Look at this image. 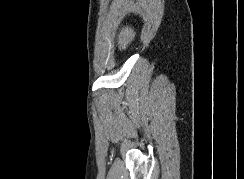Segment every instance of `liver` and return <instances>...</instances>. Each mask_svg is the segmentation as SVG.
<instances>
[{
	"label": "liver",
	"mask_w": 244,
	"mask_h": 179,
	"mask_svg": "<svg viewBox=\"0 0 244 179\" xmlns=\"http://www.w3.org/2000/svg\"><path fill=\"white\" fill-rule=\"evenodd\" d=\"M136 36V32L132 30V28H125V30H121L120 34H118V44L119 50H126L128 44L134 40Z\"/></svg>",
	"instance_id": "1"
}]
</instances>
